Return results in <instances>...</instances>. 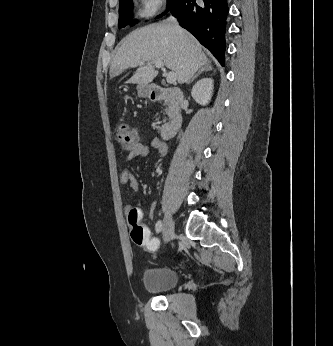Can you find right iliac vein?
I'll use <instances>...</instances> for the list:
<instances>
[{"label":"right iliac vein","mask_w":333,"mask_h":346,"mask_svg":"<svg viewBox=\"0 0 333 346\" xmlns=\"http://www.w3.org/2000/svg\"><path fill=\"white\" fill-rule=\"evenodd\" d=\"M173 230H174V223L173 219L170 215H167L164 220L163 224V240L164 243H168L172 236H173Z\"/></svg>","instance_id":"right-iliac-vein-1"}]
</instances>
